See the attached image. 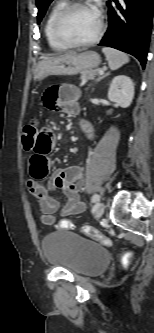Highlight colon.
Masks as SVG:
<instances>
[{"instance_id":"colon-1","label":"colon","mask_w":154,"mask_h":333,"mask_svg":"<svg viewBox=\"0 0 154 333\" xmlns=\"http://www.w3.org/2000/svg\"><path fill=\"white\" fill-rule=\"evenodd\" d=\"M38 128H39V126H38L37 122H35V121L27 124L23 128L22 145H23L24 150L30 151L34 148L35 137H36ZM72 227H73V224L68 219H62L58 223V228L62 229V230L71 229ZM82 230L86 235L97 240L98 242L102 243L103 245H106V246L111 245V240L107 236H105L103 233H101L99 230H97L96 228L86 225L82 228Z\"/></svg>"}]
</instances>
